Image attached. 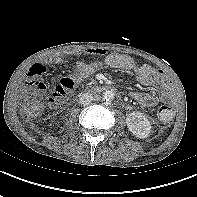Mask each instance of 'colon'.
Returning a JSON list of instances; mask_svg holds the SVG:
<instances>
[{
    "label": "colon",
    "mask_w": 197,
    "mask_h": 197,
    "mask_svg": "<svg viewBox=\"0 0 197 197\" xmlns=\"http://www.w3.org/2000/svg\"><path fill=\"white\" fill-rule=\"evenodd\" d=\"M74 80L72 78H63L56 86L53 96L49 99L52 106L61 104L64 97L73 89ZM31 90L24 100V110L30 117H36L42 108V94L46 86L41 81H34L30 85ZM158 116L163 122H170L173 119L174 111L170 106L163 105L158 110Z\"/></svg>",
    "instance_id": "obj_1"
}]
</instances>
